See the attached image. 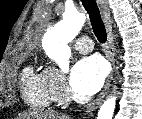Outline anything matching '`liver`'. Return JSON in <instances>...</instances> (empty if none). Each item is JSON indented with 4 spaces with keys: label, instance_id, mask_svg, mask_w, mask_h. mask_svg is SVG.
I'll return each mask as SVG.
<instances>
[{
    "label": "liver",
    "instance_id": "1",
    "mask_svg": "<svg viewBox=\"0 0 142 119\" xmlns=\"http://www.w3.org/2000/svg\"><path fill=\"white\" fill-rule=\"evenodd\" d=\"M19 119H70L67 115L56 114L51 111H28L19 116Z\"/></svg>",
    "mask_w": 142,
    "mask_h": 119
}]
</instances>
